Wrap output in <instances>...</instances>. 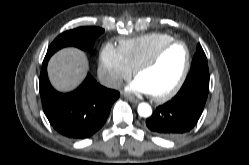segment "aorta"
<instances>
[{
  "instance_id": "1",
  "label": "aorta",
  "mask_w": 249,
  "mask_h": 165,
  "mask_svg": "<svg viewBox=\"0 0 249 165\" xmlns=\"http://www.w3.org/2000/svg\"><path fill=\"white\" fill-rule=\"evenodd\" d=\"M138 114L141 117H149L152 114V108L149 104L147 103H140L138 105Z\"/></svg>"
}]
</instances>
